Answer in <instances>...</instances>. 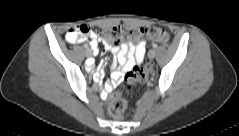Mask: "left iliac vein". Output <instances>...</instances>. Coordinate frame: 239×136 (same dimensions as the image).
I'll return each mask as SVG.
<instances>
[{
	"label": "left iliac vein",
	"instance_id": "4c4485c4",
	"mask_svg": "<svg viewBox=\"0 0 239 136\" xmlns=\"http://www.w3.org/2000/svg\"><path fill=\"white\" fill-rule=\"evenodd\" d=\"M156 53L154 49L149 50L148 57L153 59L155 57Z\"/></svg>",
	"mask_w": 239,
	"mask_h": 136
}]
</instances>
